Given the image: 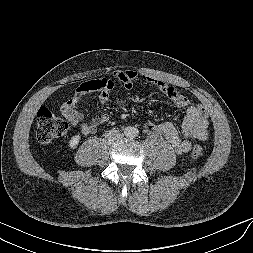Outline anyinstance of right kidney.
Masks as SVG:
<instances>
[{
    "label": "right kidney",
    "instance_id": "ca27d5eb",
    "mask_svg": "<svg viewBox=\"0 0 253 253\" xmlns=\"http://www.w3.org/2000/svg\"><path fill=\"white\" fill-rule=\"evenodd\" d=\"M80 136L79 135H75L73 136L69 142H68V146L71 148V149H74L77 147L78 143H79V140H80Z\"/></svg>",
    "mask_w": 253,
    "mask_h": 253
}]
</instances>
